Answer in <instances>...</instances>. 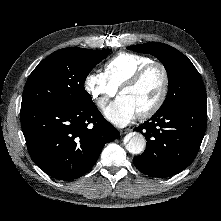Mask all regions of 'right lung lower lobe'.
Masks as SVG:
<instances>
[{"label":"right lung lower lobe","instance_id":"1","mask_svg":"<svg viewBox=\"0 0 221 221\" xmlns=\"http://www.w3.org/2000/svg\"><path fill=\"white\" fill-rule=\"evenodd\" d=\"M21 126L34 163L48 175L73 180L88 172L119 132L92 102L81 106H21Z\"/></svg>","mask_w":221,"mask_h":221}]
</instances>
